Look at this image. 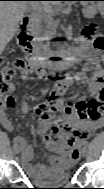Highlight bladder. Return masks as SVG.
<instances>
[{
  "instance_id": "1",
  "label": "bladder",
  "mask_w": 104,
  "mask_h": 189,
  "mask_svg": "<svg viewBox=\"0 0 104 189\" xmlns=\"http://www.w3.org/2000/svg\"><path fill=\"white\" fill-rule=\"evenodd\" d=\"M25 174L30 180L40 185H64L71 179L68 165H53L45 167L39 174L31 172H25Z\"/></svg>"
}]
</instances>
